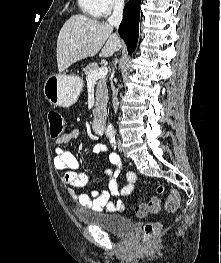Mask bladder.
<instances>
[{
    "label": "bladder",
    "instance_id": "1",
    "mask_svg": "<svg viewBox=\"0 0 221 263\" xmlns=\"http://www.w3.org/2000/svg\"><path fill=\"white\" fill-rule=\"evenodd\" d=\"M78 220L85 225H95L115 236L124 237L133 232L137 223L119 214H99L96 217L79 215Z\"/></svg>",
    "mask_w": 221,
    "mask_h": 263
}]
</instances>
